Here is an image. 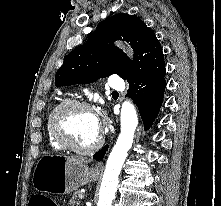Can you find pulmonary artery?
Returning <instances> with one entry per match:
<instances>
[{"label": "pulmonary artery", "mask_w": 221, "mask_h": 206, "mask_svg": "<svg viewBox=\"0 0 221 206\" xmlns=\"http://www.w3.org/2000/svg\"><path fill=\"white\" fill-rule=\"evenodd\" d=\"M108 86L112 89L122 91L124 89V81L118 75H112L108 79Z\"/></svg>", "instance_id": "obj_1"}]
</instances>
